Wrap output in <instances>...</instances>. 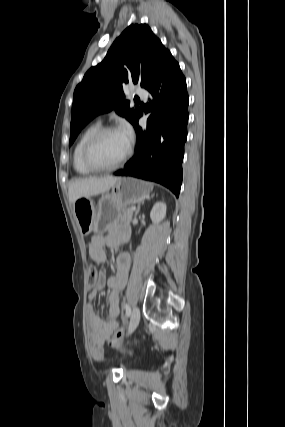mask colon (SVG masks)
Returning <instances> with one entry per match:
<instances>
[{"label":"colon","mask_w":285,"mask_h":427,"mask_svg":"<svg viewBox=\"0 0 285 427\" xmlns=\"http://www.w3.org/2000/svg\"><path fill=\"white\" fill-rule=\"evenodd\" d=\"M97 280V271L93 266L88 268V286L94 287ZM110 345L114 348L125 350L126 347L123 345V332L122 330H117L110 342Z\"/></svg>","instance_id":"obj_1"}]
</instances>
